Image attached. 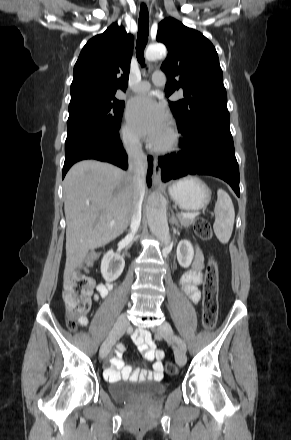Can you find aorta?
I'll use <instances>...</instances> for the list:
<instances>
[{
    "instance_id": "762f6f07",
    "label": "aorta",
    "mask_w": 291,
    "mask_h": 440,
    "mask_svg": "<svg viewBox=\"0 0 291 440\" xmlns=\"http://www.w3.org/2000/svg\"><path fill=\"white\" fill-rule=\"evenodd\" d=\"M166 48L162 44H154L148 46L145 52V59L148 61H156L166 56ZM148 226L150 231L165 245L170 242L169 226L166 214V204L164 198L156 201L153 200L146 210Z\"/></svg>"
}]
</instances>
